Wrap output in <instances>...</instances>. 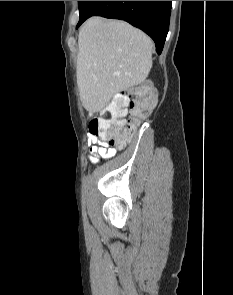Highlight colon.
I'll return each instance as SVG.
<instances>
[{
    "label": "colon",
    "mask_w": 233,
    "mask_h": 295,
    "mask_svg": "<svg viewBox=\"0 0 233 295\" xmlns=\"http://www.w3.org/2000/svg\"><path fill=\"white\" fill-rule=\"evenodd\" d=\"M155 104L154 92L148 83L116 95L102 111L93 118L89 131L110 147H123L133 137L136 127L147 118Z\"/></svg>",
    "instance_id": "5ec220e1"
}]
</instances>
